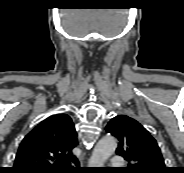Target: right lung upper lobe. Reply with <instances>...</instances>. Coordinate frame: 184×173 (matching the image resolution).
<instances>
[{
	"instance_id": "right-lung-upper-lobe-1",
	"label": "right lung upper lobe",
	"mask_w": 184,
	"mask_h": 173,
	"mask_svg": "<svg viewBox=\"0 0 184 173\" xmlns=\"http://www.w3.org/2000/svg\"><path fill=\"white\" fill-rule=\"evenodd\" d=\"M78 145L72 119L51 116L38 124L21 142L13 173H61L76 162L72 149Z\"/></svg>"
}]
</instances>
